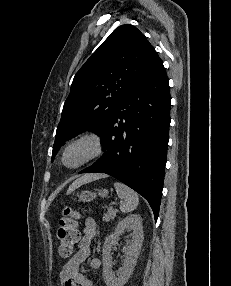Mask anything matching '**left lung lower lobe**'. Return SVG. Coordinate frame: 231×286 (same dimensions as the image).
<instances>
[{
  "mask_svg": "<svg viewBox=\"0 0 231 286\" xmlns=\"http://www.w3.org/2000/svg\"><path fill=\"white\" fill-rule=\"evenodd\" d=\"M168 78L162 61L118 102L101 136L104 155L80 173H106L150 204L158 218L170 125Z\"/></svg>",
  "mask_w": 231,
  "mask_h": 286,
  "instance_id": "0a47b994",
  "label": "left lung lower lobe"
}]
</instances>
